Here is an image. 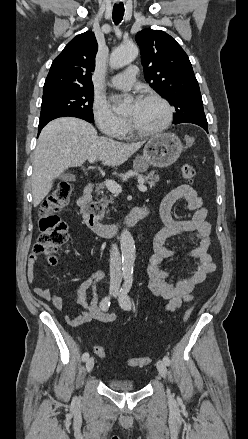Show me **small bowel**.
Wrapping results in <instances>:
<instances>
[{
	"label": "small bowel",
	"instance_id": "obj_1",
	"mask_svg": "<svg viewBox=\"0 0 248 439\" xmlns=\"http://www.w3.org/2000/svg\"><path fill=\"white\" fill-rule=\"evenodd\" d=\"M181 199L185 200L187 208L193 211V215L189 219L178 220L172 215L174 205ZM160 214L165 226L154 238V254L147 262V273L152 295L167 299L168 304L165 311L172 312L178 310L184 303L193 300L195 287L216 269L212 255L209 252L211 224L207 220L208 212L203 206L202 199L189 185H180L164 194L161 199ZM174 237L186 238L197 243V246L181 254L194 260L195 269L176 281L171 280V273L163 267L166 260L180 255L176 250L165 246L166 241ZM37 256L38 254L34 251L29 256L27 278L30 283H34L36 279ZM104 276L105 272L103 270H96L73 290L72 295L75 302L84 311L77 317H66V321L70 326L79 327L91 321L112 323L116 320L115 314L102 312L98 306L97 288ZM87 290L91 291L90 299L87 298ZM34 292L42 299L50 302L58 311L63 310L62 299L52 289L36 286Z\"/></svg>",
	"mask_w": 248,
	"mask_h": 439
}]
</instances>
